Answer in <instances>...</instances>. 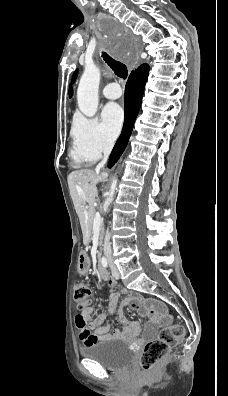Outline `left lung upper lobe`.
Masks as SVG:
<instances>
[{"mask_svg":"<svg viewBox=\"0 0 228 396\" xmlns=\"http://www.w3.org/2000/svg\"><path fill=\"white\" fill-rule=\"evenodd\" d=\"M77 74H78V70H76L75 73L73 74V78H72V81H73V82H74V80L76 79Z\"/></svg>","mask_w":228,"mask_h":396,"instance_id":"1","label":"left lung upper lobe"}]
</instances>
